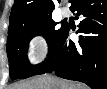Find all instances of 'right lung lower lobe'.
<instances>
[{"label": "right lung lower lobe", "mask_w": 107, "mask_h": 89, "mask_svg": "<svg viewBox=\"0 0 107 89\" xmlns=\"http://www.w3.org/2000/svg\"><path fill=\"white\" fill-rule=\"evenodd\" d=\"M71 11L80 15L78 42L69 39L66 26L55 49L34 75L54 71L92 89L107 88V0H75Z\"/></svg>", "instance_id": "98d812e1"}]
</instances>
